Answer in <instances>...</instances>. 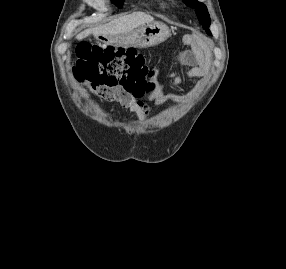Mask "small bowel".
<instances>
[{
    "instance_id": "obj_1",
    "label": "small bowel",
    "mask_w": 286,
    "mask_h": 269,
    "mask_svg": "<svg viewBox=\"0 0 286 269\" xmlns=\"http://www.w3.org/2000/svg\"><path fill=\"white\" fill-rule=\"evenodd\" d=\"M187 45L190 47V50L177 55L171 62V68L167 77L172 86H179L185 80L204 77L208 73L209 53L206 44L201 40H192L187 42ZM183 69H186L184 74L181 73ZM106 98L115 100L131 110L141 122L150 114V107L147 104L139 101L133 93L123 88L113 89L111 95ZM162 102L163 98H158L154 102V106H159Z\"/></svg>"
}]
</instances>
